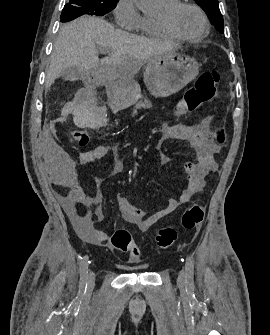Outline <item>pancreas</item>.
<instances>
[{
	"label": "pancreas",
	"instance_id": "cf45deb5",
	"mask_svg": "<svg viewBox=\"0 0 270 335\" xmlns=\"http://www.w3.org/2000/svg\"><path fill=\"white\" fill-rule=\"evenodd\" d=\"M152 104L149 102L148 98H143V100H140V102H137L135 104L134 108L135 110H140V108H151Z\"/></svg>",
	"mask_w": 270,
	"mask_h": 335
}]
</instances>
